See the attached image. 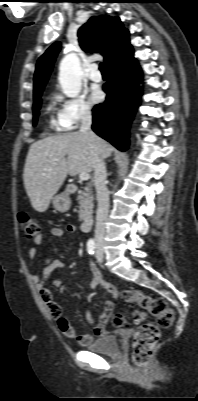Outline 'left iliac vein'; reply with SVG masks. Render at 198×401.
<instances>
[{
	"label": "left iliac vein",
	"mask_w": 198,
	"mask_h": 401,
	"mask_svg": "<svg viewBox=\"0 0 198 401\" xmlns=\"http://www.w3.org/2000/svg\"><path fill=\"white\" fill-rule=\"evenodd\" d=\"M96 259L99 263L103 262L104 259V254H103V250L101 248V246L97 247V251H96Z\"/></svg>",
	"instance_id": "obj_1"
}]
</instances>
